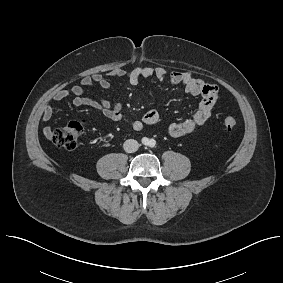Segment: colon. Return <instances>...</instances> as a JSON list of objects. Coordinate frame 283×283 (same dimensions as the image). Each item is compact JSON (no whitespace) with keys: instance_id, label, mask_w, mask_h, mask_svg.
<instances>
[{"instance_id":"1","label":"colon","mask_w":283,"mask_h":283,"mask_svg":"<svg viewBox=\"0 0 283 283\" xmlns=\"http://www.w3.org/2000/svg\"><path fill=\"white\" fill-rule=\"evenodd\" d=\"M223 123L228 129H232L237 125V121L233 117H226ZM82 131L83 124L80 121H71L64 126L55 129L51 134V139L57 146L71 150L76 147Z\"/></svg>"}]
</instances>
